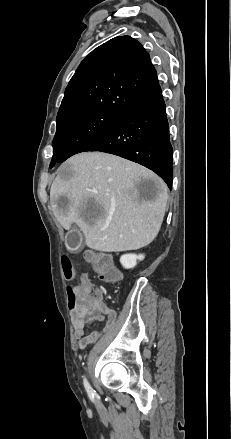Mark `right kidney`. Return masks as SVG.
I'll return each instance as SVG.
<instances>
[{
  "instance_id": "1",
  "label": "right kidney",
  "mask_w": 231,
  "mask_h": 439,
  "mask_svg": "<svg viewBox=\"0 0 231 439\" xmlns=\"http://www.w3.org/2000/svg\"><path fill=\"white\" fill-rule=\"evenodd\" d=\"M144 255H136V254H124L120 258V262L122 266L126 269L134 268L137 264V260H143Z\"/></svg>"
}]
</instances>
